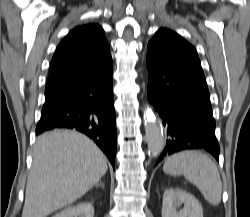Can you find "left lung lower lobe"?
Listing matches in <instances>:
<instances>
[{"label":"left lung lower lobe","mask_w":250,"mask_h":217,"mask_svg":"<svg viewBox=\"0 0 250 217\" xmlns=\"http://www.w3.org/2000/svg\"><path fill=\"white\" fill-rule=\"evenodd\" d=\"M147 97L167 129L166 147L156 165L173 153L204 149L217 160L220 147L215 120L201 65L170 58L147 46Z\"/></svg>","instance_id":"left-lung-lower-lobe-1"}]
</instances>
